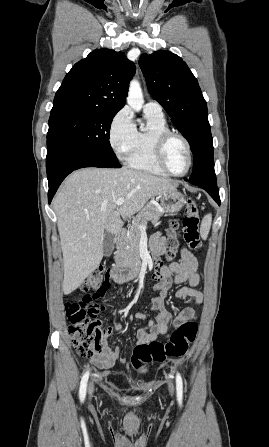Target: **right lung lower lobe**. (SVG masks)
I'll use <instances>...</instances> for the list:
<instances>
[{
  "label": "right lung lower lobe",
  "instance_id": "right-lung-lower-lobe-1",
  "mask_svg": "<svg viewBox=\"0 0 269 447\" xmlns=\"http://www.w3.org/2000/svg\"><path fill=\"white\" fill-rule=\"evenodd\" d=\"M47 150L46 169L49 185V203L61 182L72 171L84 167H121L117 158L70 143L55 136H47Z\"/></svg>",
  "mask_w": 269,
  "mask_h": 447
}]
</instances>
